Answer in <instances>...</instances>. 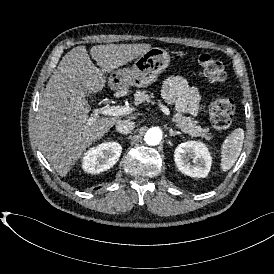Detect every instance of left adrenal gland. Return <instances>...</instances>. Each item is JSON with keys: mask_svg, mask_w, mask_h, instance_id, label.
I'll list each match as a JSON object with an SVG mask.
<instances>
[{"mask_svg": "<svg viewBox=\"0 0 274 274\" xmlns=\"http://www.w3.org/2000/svg\"><path fill=\"white\" fill-rule=\"evenodd\" d=\"M176 135H181V132L169 129V136L174 137Z\"/></svg>", "mask_w": 274, "mask_h": 274, "instance_id": "obj_1", "label": "left adrenal gland"}]
</instances>
